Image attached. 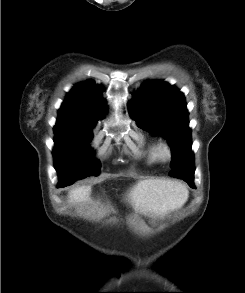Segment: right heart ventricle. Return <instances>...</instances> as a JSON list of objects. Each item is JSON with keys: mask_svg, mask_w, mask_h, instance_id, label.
I'll list each match as a JSON object with an SVG mask.
<instances>
[{"mask_svg": "<svg viewBox=\"0 0 245 293\" xmlns=\"http://www.w3.org/2000/svg\"><path fill=\"white\" fill-rule=\"evenodd\" d=\"M160 143L157 141H151L146 147V159L149 164H153L159 160L158 148Z\"/></svg>", "mask_w": 245, "mask_h": 293, "instance_id": "right-heart-ventricle-1", "label": "right heart ventricle"}]
</instances>
